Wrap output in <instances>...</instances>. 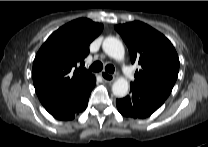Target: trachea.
Returning a JSON list of instances; mask_svg holds the SVG:
<instances>
[{
  "instance_id": "obj_1",
  "label": "trachea",
  "mask_w": 208,
  "mask_h": 147,
  "mask_svg": "<svg viewBox=\"0 0 208 147\" xmlns=\"http://www.w3.org/2000/svg\"><path fill=\"white\" fill-rule=\"evenodd\" d=\"M102 69H103V64L100 61H96L90 66V70L93 71V72H99ZM105 70L108 73H114L115 68H114L113 65L108 64V65L105 66Z\"/></svg>"
}]
</instances>
